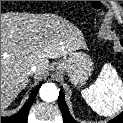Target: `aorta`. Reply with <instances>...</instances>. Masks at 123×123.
<instances>
[{"mask_svg": "<svg viewBox=\"0 0 123 123\" xmlns=\"http://www.w3.org/2000/svg\"><path fill=\"white\" fill-rule=\"evenodd\" d=\"M39 94L41 99L45 102H53L58 98L59 91L55 84L45 83L41 86Z\"/></svg>", "mask_w": 123, "mask_h": 123, "instance_id": "762f6f07", "label": "aorta"}]
</instances>
